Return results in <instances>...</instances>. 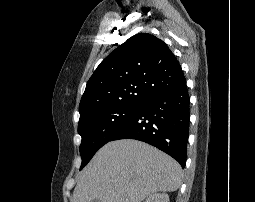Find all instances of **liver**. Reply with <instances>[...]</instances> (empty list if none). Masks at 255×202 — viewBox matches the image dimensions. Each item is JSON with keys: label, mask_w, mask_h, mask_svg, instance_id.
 I'll return each instance as SVG.
<instances>
[{"label": "liver", "mask_w": 255, "mask_h": 202, "mask_svg": "<svg viewBox=\"0 0 255 202\" xmlns=\"http://www.w3.org/2000/svg\"><path fill=\"white\" fill-rule=\"evenodd\" d=\"M182 178L179 163L157 148L133 139L111 141L83 170L72 202H142L176 191Z\"/></svg>", "instance_id": "1"}]
</instances>
